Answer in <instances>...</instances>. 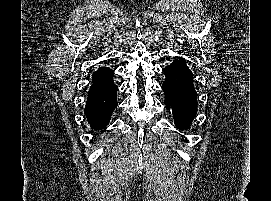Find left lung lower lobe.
Masks as SVG:
<instances>
[{
    "label": "left lung lower lobe",
    "mask_w": 271,
    "mask_h": 201,
    "mask_svg": "<svg viewBox=\"0 0 271 201\" xmlns=\"http://www.w3.org/2000/svg\"><path fill=\"white\" fill-rule=\"evenodd\" d=\"M166 79L162 85L164 104L173 113L176 127L188 129L197 112V94L193 74L183 59L175 60L163 69Z\"/></svg>",
    "instance_id": "obj_1"
}]
</instances>
